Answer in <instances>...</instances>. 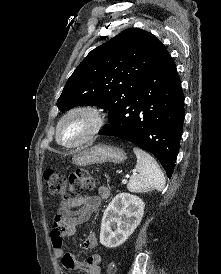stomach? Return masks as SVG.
<instances>
[{
	"label": "stomach",
	"mask_w": 221,
	"mask_h": 274,
	"mask_svg": "<svg viewBox=\"0 0 221 274\" xmlns=\"http://www.w3.org/2000/svg\"><path fill=\"white\" fill-rule=\"evenodd\" d=\"M125 160L126 154L122 149L104 144L91 146L73 157V162L81 166L105 162L121 163Z\"/></svg>",
	"instance_id": "0dacf381"
}]
</instances>
